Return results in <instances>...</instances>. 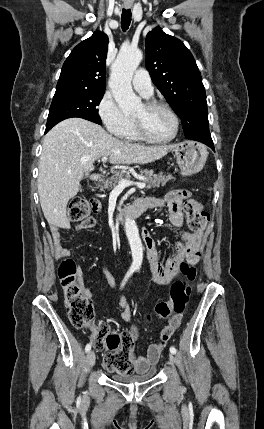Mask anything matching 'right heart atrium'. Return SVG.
<instances>
[{"label": "right heart atrium", "mask_w": 264, "mask_h": 429, "mask_svg": "<svg viewBox=\"0 0 264 429\" xmlns=\"http://www.w3.org/2000/svg\"><path fill=\"white\" fill-rule=\"evenodd\" d=\"M97 115L105 129L112 135L121 137L131 124L114 97L106 92L97 105Z\"/></svg>", "instance_id": "d8ad5b80"}]
</instances>
